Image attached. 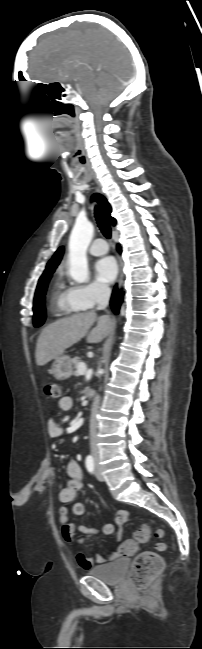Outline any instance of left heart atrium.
I'll use <instances>...</instances> for the list:
<instances>
[{"mask_svg": "<svg viewBox=\"0 0 202 649\" xmlns=\"http://www.w3.org/2000/svg\"><path fill=\"white\" fill-rule=\"evenodd\" d=\"M95 274L102 283L112 282L117 275V265L112 257H104L95 264Z\"/></svg>", "mask_w": 202, "mask_h": 649, "instance_id": "39dd6f15", "label": "left heart atrium"}]
</instances>
